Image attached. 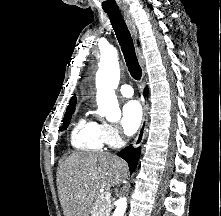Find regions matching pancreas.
Segmentation results:
<instances>
[{
  "label": "pancreas",
  "instance_id": "pancreas-1",
  "mask_svg": "<svg viewBox=\"0 0 221 216\" xmlns=\"http://www.w3.org/2000/svg\"><path fill=\"white\" fill-rule=\"evenodd\" d=\"M91 214V216H110V204L105 197H98Z\"/></svg>",
  "mask_w": 221,
  "mask_h": 216
}]
</instances>
